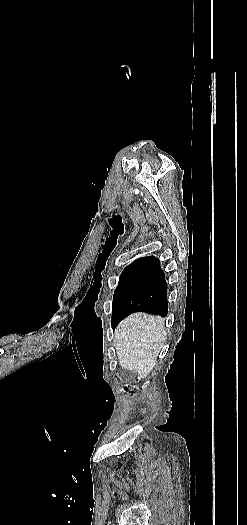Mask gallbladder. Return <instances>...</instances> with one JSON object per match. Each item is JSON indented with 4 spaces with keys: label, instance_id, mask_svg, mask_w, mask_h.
Masks as SVG:
<instances>
[{
    "label": "gallbladder",
    "instance_id": "gallbladder-1",
    "mask_svg": "<svg viewBox=\"0 0 247 525\" xmlns=\"http://www.w3.org/2000/svg\"><path fill=\"white\" fill-rule=\"evenodd\" d=\"M129 373H130V368H129L128 366H123V367L121 368V372H119V373L117 374V377H118L119 379H123V378L125 377V375H128Z\"/></svg>",
    "mask_w": 247,
    "mask_h": 525
}]
</instances>
